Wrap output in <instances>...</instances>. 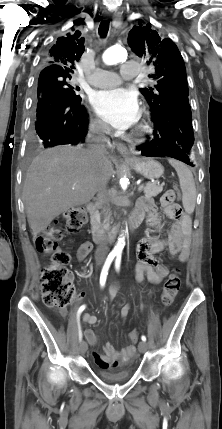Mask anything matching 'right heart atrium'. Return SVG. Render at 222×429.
Instances as JSON below:
<instances>
[{"label":"right heart atrium","mask_w":222,"mask_h":429,"mask_svg":"<svg viewBox=\"0 0 222 429\" xmlns=\"http://www.w3.org/2000/svg\"><path fill=\"white\" fill-rule=\"evenodd\" d=\"M90 128L95 132H103L106 130L105 124L96 117H92L89 121Z\"/></svg>","instance_id":"d8ad5b80"}]
</instances>
